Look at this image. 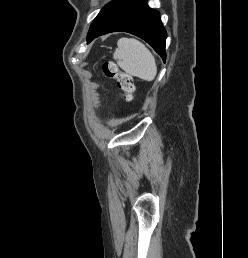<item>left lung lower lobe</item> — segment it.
Returning a JSON list of instances; mask_svg holds the SVG:
<instances>
[{"label": "left lung lower lobe", "instance_id": "0a47b994", "mask_svg": "<svg viewBox=\"0 0 248 258\" xmlns=\"http://www.w3.org/2000/svg\"><path fill=\"white\" fill-rule=\"evenodd\" d=\"M146 1L129 0L101 23L90 29L87 37L88 42L106 33L128 32L145 40L165 61L166 30L160 20L159 12L150 9Z\"/></svg>", "mask_w": 248, "mask_h": 258}]
</instances>
